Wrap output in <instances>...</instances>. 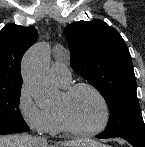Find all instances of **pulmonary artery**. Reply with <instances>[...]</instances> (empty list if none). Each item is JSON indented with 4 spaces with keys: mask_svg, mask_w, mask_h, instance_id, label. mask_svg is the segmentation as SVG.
<instances>
[{
    "mask_svg": "<svg viewBox=\"0 0 145 147\" xmlns=\"http://www.w3.org/2000/svg\"><path fill=\"white\" fill-rule=\"evenodd\" d=\"M51 76L60 84H68L71 79V72L66 63L61 61L53 62L50 69Z\"/></svg>",
    "mask_w": 145,
    "mask_h": 147,
    "instance_id": "obj_1",
    "label": "pulmonary artery"
}]
</instances>
